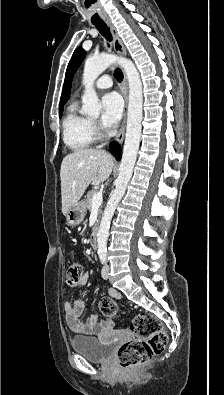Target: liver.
<instances>
[{"label":"liver","mask_w":224,"mask_h":395,"mask_svg":"<svg viewBox=\"0 0 224 395\" xmlns=\"http://www.w3.org/2000/svg\"><path fill=\"white\" fill-rule=\"evenodd\" d=\"M113 157L101 149H78L66 155L60 169L62 213L79 202L87 187L108 179Z\"/></svg>","instance_id":"1"}]
</instances>
